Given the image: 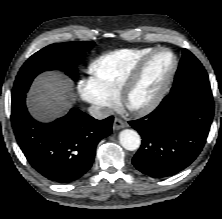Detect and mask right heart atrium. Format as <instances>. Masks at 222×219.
<instances>
[{
    "label": "right heart atrium",
    "mask_w": 222,
    "mask_h": 219,
    "mask_svg": "<svg viewBox=\"0 0 222 219\" xmlns=\"http://www.w3.org/2000/svg\"><path fill=\"white\" fill-rule=\"evenodd\" d=\"M77 92L83 101L96 106L101 112L107 113L114 106V100L100 94L90 80H80L77 84Z\"/></svg>",
    "instance_id": "d8ad5b80"
}]
</instances>
